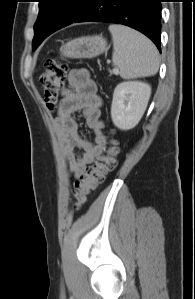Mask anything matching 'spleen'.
<instances>
[{
    "label": "spleen",
    "mask_w": 195,
    "mask_h": 299,
    "mask_svg": "<svg viewBox=\"0 0 195 299\" xmlns=\"http://www.w3.org/2000/svg\"><path fill=\"white\" fill-rule=\"evenodd\" d=\"M113 37V63L120 69L123 79L148 77L159 69V53L153 42L134 29L111 24Z\"/></svg>",
    "instance_id": "obj_1"
}]
</instances>
